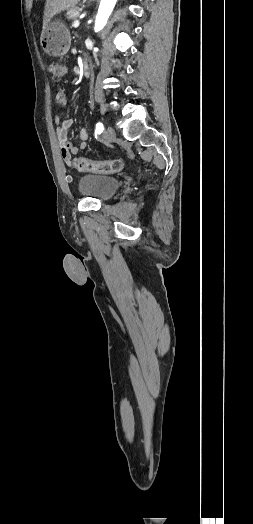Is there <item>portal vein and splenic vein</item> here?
<instances>
[{"label": "portal vein and splenic vein", "instance_id": "18ae733b", "mask_svg": "<svg viewBox=\"0 0 253 524\" xmlns=\"http://www.w3.org/2000/svg\"><path fill=\"white\" fill-rule=\"evenodd\" d=\"M80 25V22L79 20H75L74 23H73V27H78Z\"/></svg>", "mask_w": 253, "mask_h": 524}]
</instances>
